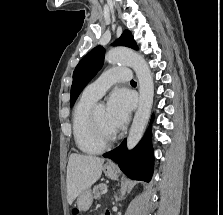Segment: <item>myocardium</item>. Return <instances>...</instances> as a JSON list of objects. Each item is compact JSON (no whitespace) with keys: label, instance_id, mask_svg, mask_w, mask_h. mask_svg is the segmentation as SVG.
<instances>
[{"label":"myocardium","instance_id":"f54148a6","mask_svg":"<svg viewBox=\"0 0 223 215\" xmlns=\"http://www.w3.org/2000/svg\"><path fill=\"white\" fill-rule=\"evenodd\" d=\"M91 133L94 143L102 150L115 146L120 138L118 133L116 132L115 136L110 141H106L104 139L102 130L97 120L96 109L92 111L91 115Z\"/></svg>","mask_w":223,"mask_h":215}]
</instances>
